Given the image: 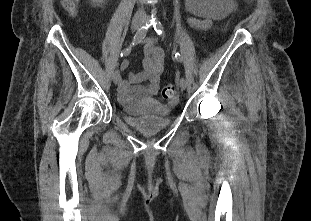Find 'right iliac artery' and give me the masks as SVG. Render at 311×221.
<instances>
[{
	"label": "right iliac artery",
	"instance_id": "obj_1",
	"mask_svg": "<svg viewBox=\"0 0 311 221\" xmlns=\"http://www.w3.org/2000/svg\"><path fill=\"white\" fill-rule=\"evenodd\" d=\"M152 23H153V20H150L144 26H142L138 29V31L136 32V34L133 38L131 45L121 51V54H120L121 57L129 55V53L131 51V47L140 43L145 38L147 30L152 25Z\"/></svg>",
	"mask_w": 311,
	"mask_h": 221
}]
</instances>
